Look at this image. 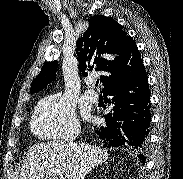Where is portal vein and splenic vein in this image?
<instances>
[{"mask_svg":"<svg viewBox=\"0 0 183 179\" xmlns=\"http://www.w3.org/2000/svg\"><path fill=\"white\" fill-rule=\"evenodd\" d=\"M52 174L59 175L63 179L62 170H60L58 168H53V169H50V170H48V171L45 172V175H52Z\"/></svg>","mask_w":183,"mask_h":179,"instance_id":"1","label":"portal vein and splenic vein"}]
</instances>
